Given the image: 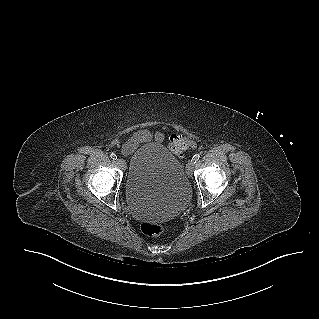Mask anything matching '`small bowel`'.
Returning <instances> with one entry per match:
<instances>
[{
  "instance_id": "1",
  "label": "small bowel",
  "mask_w": 319,
  "mask_h": 319,
  "mask_svg": "<svg viewBox=\"0 0 319 319\" xmlns=\"http://www.w3.org/2000/svg\"><path fill=\"white\" fill-rule=\"evenodd\" d=\"M164 140V134L161 131L152 132L147 129L138 130L131 134L122 144L121 152L124 155L133 153L141 144L156 141L162 142Z\"/></svg>"
}]
</instances>
